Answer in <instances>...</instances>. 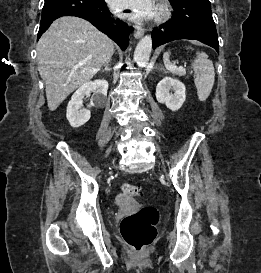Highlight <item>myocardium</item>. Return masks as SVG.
<instances>
[{
	"label": "myocardium",
	"instance_id": "myocardium-1",
	"mask_svg": "<svg viewBox=\"0 0 261 273\" xmlns=\"http://www.w3.org/2000/svg\"><path fill=\"white\" fill-rule=\"evenodd\" d=\"M170 14V6L165 1H162L157 6V11L155 14V20L161 22L165 20Z\"/></svg>",
	"mask_w": 261,
	"mask_h": 273
}]
</instances>
